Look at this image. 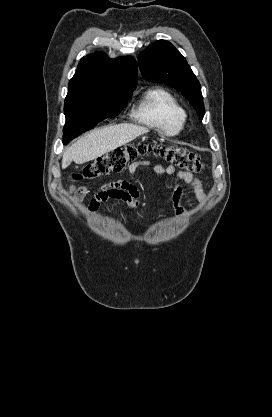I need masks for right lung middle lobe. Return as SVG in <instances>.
I'll use <instances>...</instances> for the list:
<instances>
[{
	"mask_svg": "<svg viewBox=\"0 0 272 417\" xmlns=\"http://www.w3.org/2000/svg\"><path fill=\"white\" fill-rule=\"evenodd\" d=\"M134 89L112 93H99L78 100L65 101L66 124L63 143L92 129L102 119L118 115Z\"/></svg>",
	"mask_w": 272,
	"mask_h": 417,
	"instance_id": "1",
	"label": "right lung middle lobe"
}]
</instances>
